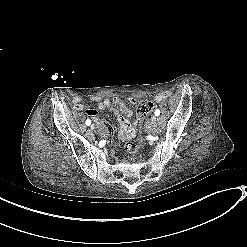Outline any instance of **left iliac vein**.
<instances>
[{
  "label": "left iliac vein",
  "mask_w": 247,
  "mask_h": 247,
  "mask_svg": "<svg viewBox=\"0 0 247 247\" xmlns=\"http://www.w3.org/2000/svg\"><path fill=\"white\" fill-rule=\"evenodd\" d=\"M156 120H157L156 116L153 115V116L151 117V122H152V123H155Z\"/></svg>",
  "instance_id": "left-iliac-vein-1"
}]
</instances>
